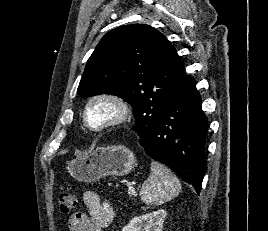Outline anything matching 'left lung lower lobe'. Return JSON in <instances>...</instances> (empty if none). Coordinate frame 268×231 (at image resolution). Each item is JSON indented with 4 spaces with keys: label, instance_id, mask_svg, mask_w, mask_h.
<instances>
[{
    "label": "left lung lower lobe",
    "instance_id": "obj_1",
    "mask_svg": "<svg viewBox=\"0 0 268 231\" xmlns=\"http://www.w3.org/2000/svg\"><path fill=\"white\" fill-rule=\"evenodd\" d=\"M208 119L201 96L189 79L169 98L159 119L139 135L140 145L154 160L166 164L200 193L205 172V140Z\"/></svg>",
    "mask_w": 268,
    "mask_h": 231
}]
</instances>
